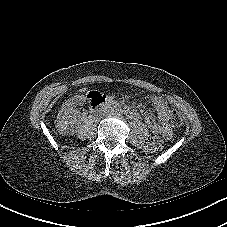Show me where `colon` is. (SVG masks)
<instances>
[{
	"label": "colon",
	"instance_id": "5ec220e1",
	"mask_svg": "<svg viewBox=\"0 0 227 227\" xmlns=\"http://www.w3.org/2000/svg\"><path fill=\"white\" fill-rule=\"evenodd\" d=\"M91 93H94V92H91ZM170 119H171L172 126L175 127V128H180L183 125L182 115L178 111H176V110H173L171 112ZM163 146H164L163 137H161L159 135H156V136H153L147 142V144H146V150L148 152H150V153H156V152H159L163 148Z\"/></svg>",
	"mask_w": 227,
	"mask_h": 227
}]
</instances>
